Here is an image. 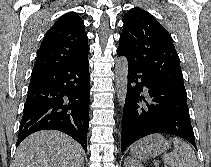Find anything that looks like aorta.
<instances>
[{
	"mask_svg": "<svg viewBox=\"0 0 211 167\" xmlns=\"http://www.w3.org/2000/svg\"><path fill=\"white\" fill-rule=\"evenodd\" d=\"M128 61L122 56L120 57L115 65V83L118 102L121 108L124 107L126 93H127V82H128Z\"/></svg>",
	"mask_w": 211,
	"mask_h": 167,
	"instance_id": "1",
	"label": "aorta"
}]
</instances>
